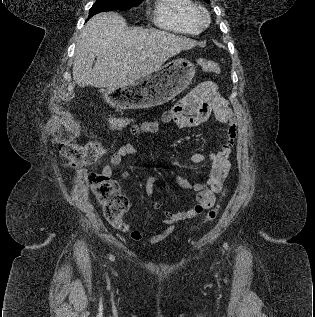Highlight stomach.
Returning a JSON list of instances; mask_svg holds the SVG:
<instances>
[{
	"label": "stomach",
	"instance_id": "stomach-1",
	"mask_svg": "<svg viewBox=\"0 0 315 317\" xmlns=\"http://www.w3.org/2000/svg\"><path fill=\"white\" fill-rule=\"evenodd\" d=\"M194 75L193 63L178 58L134 83L118 84V91L108 88L107 94L122 108H151L175 98L188 87Z\"/></svg>",
	"mask_w": 315,
	"mask_h": 317
}]
</instances>
